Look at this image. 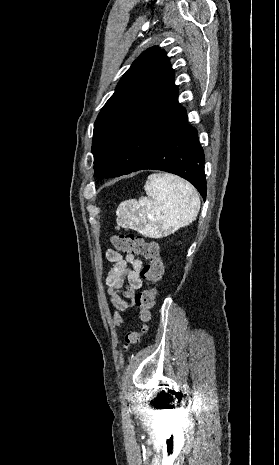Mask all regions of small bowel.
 Returning <instances> with one entry per match:
<instances>
[{
	"label": "small bowel",
	"mask_w": 279,
	"mask_h": 465,
	"mask_svg": "<svg viewBox=\"0 0 279 465\" xmlns=\"http://www.w3.org/2000/svg\"><path fill=\"white\" fill-rule=\"evenodd\" d=\"M105 258L113 264L105 280L109 300L115 309L112 321L121 326L124 320L120 313L134 306L136 292L143 285L142 260L134 254L123 255L115 249H108ZM124 298L131 299L132 302L129 303Z\"/></svg>",
	"instance_id": "1"
}]
</instances>
